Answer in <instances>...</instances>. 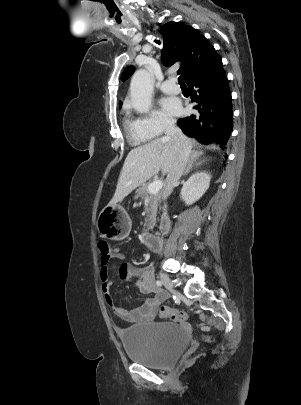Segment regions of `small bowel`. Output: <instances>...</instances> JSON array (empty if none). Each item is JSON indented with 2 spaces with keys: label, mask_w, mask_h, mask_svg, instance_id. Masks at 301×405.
<instances>
[{
  "label": "small bowel",
  "mask_w": 301,
  "mask_h": 405,
  "mask_svg": "<svg viewBox=\"0 0 301 405\" xmlns=\"http://www.w3.org/2000/svg\"><path fill=\"white\" fill-rule=\"evenodd\" d=\"M111 259L121 260L119 267V278L130 282L142 294L153 295L152 298L138 308L127 310L119 306L111 293V283L109 282V261ZM100 279L102 281V293L106 303L113 309L114 313L121 319L130 323H140L153 320L160 305L166 300L167 294L157 288L154 284L153 267H135L125 261V255L119 249H114L107 257L101 256Z\"/></svg>",
  "instance_id": "1"
}]
</instances>
